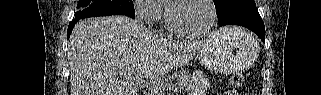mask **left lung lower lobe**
I'll return each instance as SVG.
<instances>
[{"instance_id":"1","label":"left lung lower lobe","mask_w":321,"mask_h":95,"mask_svg":"<svg viewBox=\"0 0 321 95\" xmlns=\"http://www.w3.org/2000/svg\"><path fill=\"white\" fill-rule=\"evenodd\" d=\"M217 15L220 26H244L255 32L265 42L264 23L254 0H231Z\"/></svg>"}]
</instances>
